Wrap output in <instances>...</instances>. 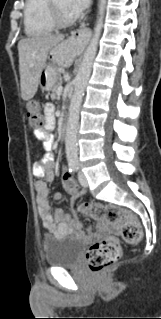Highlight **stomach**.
I'll return each mask as SVG.
<instances>
[{
    "label": "stomach",
    "instance_id": "stomach-1",
    "mask_svg": "<svg viewBox=\"0 0 161 319\" xmlns=\"http://www.w3.org/2000/svg\"><path fill=\"white\" fill-rule=\"evenodd\" d=\"M75 43L72 40L64 41L53 47L48 55L49 63L45 65L39 76V85L43 91H49L57 81V69L68 66Z\"/></svg>",
    "mask_w": 161,
    "mask_h": 319
}]
</instances>
